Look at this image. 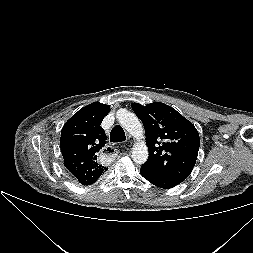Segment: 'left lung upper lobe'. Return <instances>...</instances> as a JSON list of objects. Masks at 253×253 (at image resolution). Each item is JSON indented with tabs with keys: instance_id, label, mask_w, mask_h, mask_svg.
Listing matches in <instances>:
<instances>
[{
	"instance_id": "5c2ea615",
	"label": "left lung upper lobe",
	"mask_w": 253,
	"mask_h": 253,
	"mask_svg": "<svg viewBox=\"0 0 253 253\" xmlns=\"http://www.w3.org/2000/svg\"><path fill=\"white\" fill-rule=\"evenodd\" d=\"M143 122L148 160L141 168L175 184L184 181L196 163L199 134L195 126L172 107L153 102L146 106L132 103Z\"/></svg>"
}]
</instances>
